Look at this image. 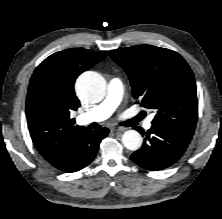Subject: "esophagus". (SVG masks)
Here are the masks:
<instances>
[{"instance_id": "34e87169", "label": "esophagus", "mask_w": 222, "mask_h": 219, "mask_svg": "<svg viewBox=\"0 0 222 219\" xmlns=\"http://www.w3.org/2000/svg\"><path fill=\"white\" fill-rule=\"evenodd\" d=\"M125 130V128H122V127H113L112 128V131L113 132H122V131H124Z\"/></svg>"}]
</instances>
